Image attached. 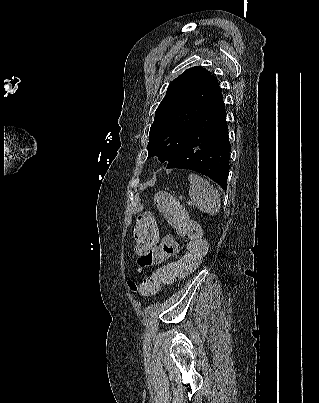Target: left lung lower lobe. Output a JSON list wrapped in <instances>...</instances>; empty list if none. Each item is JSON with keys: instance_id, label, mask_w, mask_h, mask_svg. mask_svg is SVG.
<instances>
[{"instance_id": "left-lung-lower-lobe-1", "label": "left lung lower lobe", "mask_w": 319, "mask_h": 403, "mask_svg": "<svg viewBox=\"0 0 319 403\" xmlns=\"http://www.w3.org/2000/svg\"><path fill=\"white\" fill-rule=\"evenodd\" d=\"M230 143L223 96L207 108L189 137L166 168L190 169L204 174L227 189Z\"/></svg>"}]
</instances>
